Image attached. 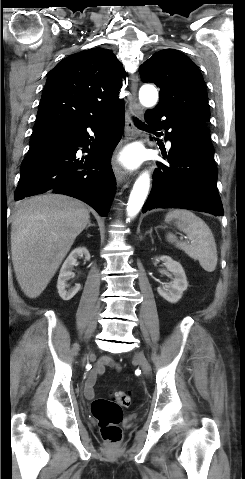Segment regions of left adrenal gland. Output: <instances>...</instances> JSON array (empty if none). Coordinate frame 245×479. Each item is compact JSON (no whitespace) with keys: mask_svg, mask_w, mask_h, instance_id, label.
<instances>
[{"mask_svg":"<svg viewBox=\"0 0 245 479\" xmlns=\"http://www.w3.org/2000/svg\"><path fill=\"white\" fill-rule=\"evenodd\" d=\"M147 234H149V235H150V237H151V241L153 242V238H152V228L150 229V231H148V232H147Z\"/></svg>","mask_w":245,"mask_h":479,"instance_id":"obj_1","label":"left adrenal gland"}]
</instances>
